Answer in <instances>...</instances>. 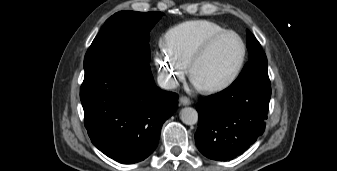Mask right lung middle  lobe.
Wrapping results in <instances>:
<instances>
[{
	"label": "right lung middle lobe",
	"instance_id": "obj_1",
	"mask_svg": "<svg viewBox=\"0 0 337 171\" xmlns=\"http://www.w3.org/2000/svg\"><path fill=\"white\" fill-rule=\"evenodd\" d=\"M163 15L161 12L129 10L115 13L106 20L89 47L84 68L109 57H125L149 63V32Z\"/></svg>",
	"mask_w": 337,
	"mask_h": 171
}]
</instances>
